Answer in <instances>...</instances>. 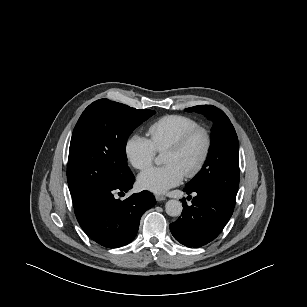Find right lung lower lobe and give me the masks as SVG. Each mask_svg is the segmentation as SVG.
<instances>
[{
	"instance_id": "obj_1",
	"label": "right lung lower lobe",
	"mask_w": 307,
	"mask_h": 307,
	"mask_svg": "<svg viewBox=\"0 0 307 307\" xmlns=\"http://www.w3.org/2000/svg\"><path fill=\"white\" fill-rule=\"evenodd\" d=\"M135 181L132 172L121 182L73 203L84 232L107 248L130 243L136 236L142 214L156 203L152 193L142 191L121 201L116 192H128Z\"/></svg>"
}]
</instances>
